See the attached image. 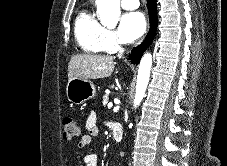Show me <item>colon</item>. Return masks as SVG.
Listing matches in <instances>:
<instances>
[{"label": "colon", "instance_id": "obj_1", "mask_svg": "<svg viewBox=\"0 0 227 166\" xmlns=\"http://www.w3.org/2000/svg\"><path fill=\"white\" fill-rule=\"evenodd\" d=\"M63 135L65 139H73L79 135V127L72 117H65L62 121Z\"/></svg>", "mask_w": 227, "mask_h": 166}]
</instances>
